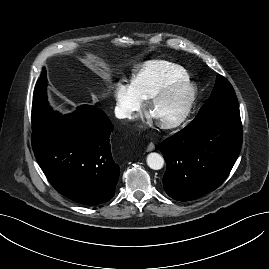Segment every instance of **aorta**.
I'll list each match as a JSON object with an SVG mask.
<instances>
[{"label":"aorta","mask_w":269,"mask_h":269,"mask_svg":"<svg viewBox=\"0 0 269 269\" xmlns=\"http://www.w3.org/2000/svg\"><path fill=\"white\" fill-rule=\"evenodd\" d=\"M146 161L147 165L153 170H160L164 166L163 157L156 152L149 153Z\"/></svg>","instance_id":"1"}]
</instances>
